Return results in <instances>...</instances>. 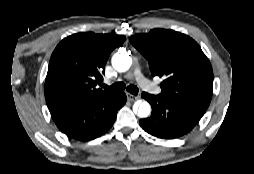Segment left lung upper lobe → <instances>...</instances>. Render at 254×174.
I'll use <instances>...</instances> for the list:
<instances>
[{
    "mask_svg": "<svg viewBox=\"0 0 254 174\" xmlns=\"http://www.w3.org/2000/svg\"><path fill=\"white\" fill-rule=\"evenodd\" d=\"M148 60L152 76L163 78L158 95L169 102L206 111L213 89L211 64L189 36L173 30L153 29L130 37Z\"/></svg>",
    "mask_w": 254,
    "mask_h": 174,
    "instance_id": "1",
    "label": "left lung upper lobe"
}]
</instances>
